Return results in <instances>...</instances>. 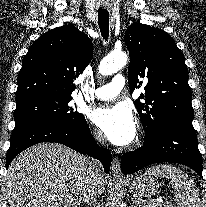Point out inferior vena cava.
Here are the masks:
<instances>
[{"instance_id":"inferior-vena-cava-1","label":"inferior vena cava","mask_w":206,"mask_h":207,"mask_svg":"<svg viewBox=\"0 0 206 207\" xmlns=\"http://www.w3.org/2000/svg\"><path fill=\"white\" fill-rule=\"evenodd\" d=\"M96 140L103 143L104 137L102 134H98ZM102 174V165L99 160L89 159V185L83 198L87 207H100L97 197L99 196L98 191Z\"/></svg>"}]
</instances>
